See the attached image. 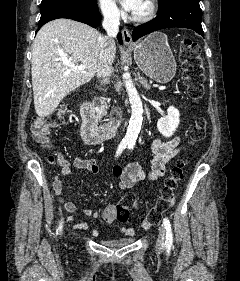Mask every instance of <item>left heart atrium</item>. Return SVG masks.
Masks as SVG:
<instances>
[{
	"label": "left heart atrium",
	"mask_w": 240,
	"mask_h": 281,
	"mask_svg": "<svg viewBox=\"0 0 240 281\" xmlns=\"http://www.w3.org/2000/svg\"><path fill=\"white\" fill-rule=\"evenodd\" d=\"M143 0H120L123 7L132 13H135L141 6Z\"/></svg>",
	"instance_id": "obj_1"
}]
</instances>
